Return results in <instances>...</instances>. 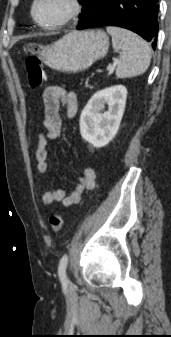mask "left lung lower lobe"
Returning <instances> with one entry per match:
<instances>
[{
    "instance_id": "obj_1",
    "label": "left lung lower lobe",
    "mask_w": 171,
    "mask_h": 337,
    "mask_svg": "<svg viewBox=\"0 0 171 337\" xmlns=\"http://www.w3.org/2000/svg\"><path fill=\"white\" fill-rule=\"evenodd\" d=\"M159 0H89L77 29L119 26L129 29L156 47Z\"/></svg>"
}]
</instances>
